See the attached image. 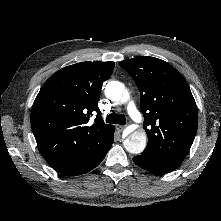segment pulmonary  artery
<instances>
[{"label":"pulmonary artery","instance_id":"e3ab8cb5","mask_svg":"<svg viewBox=\"0 0 221 221\" xmlns=\"http://www.w3.org/2000/svg\"><path fill=\"white\" fill-rule=\"evenodd\" d=\"M127 111L129 113V115L131 116V118L135 121H140L141 120V115L138 112L134 102L130 101L127 105Z\"/></svg>","mask_w":221,"mask_h":221}]
</instances>
